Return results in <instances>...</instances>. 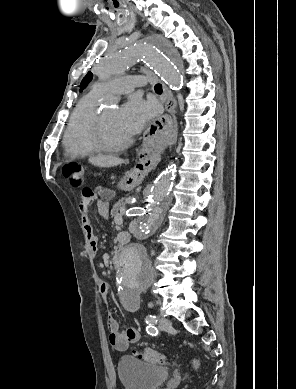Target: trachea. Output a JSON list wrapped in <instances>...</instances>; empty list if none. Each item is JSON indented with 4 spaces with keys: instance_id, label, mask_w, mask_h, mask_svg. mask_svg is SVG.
<instances>
[{
    "instance_id": "obj_1",
    "label": "trachea",
    "mask_w": 296,
    "mask_h": 389,
    "mask_svg": "<svg viewBox=\"0 0 296 389\" xmlns=\"http://www.w3.org/2000/svg\"><path fill=\"white\" fill-rule=\"evenodd\" d=\"M154 90H155L156 93L162 94V85L161 84H156L154 86Z\"/></svg>"
}]
</instances>
